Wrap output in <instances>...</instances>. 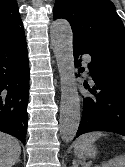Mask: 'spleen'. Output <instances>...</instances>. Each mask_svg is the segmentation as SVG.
Listing matches in <instances>:
<instances>
[{"label":"spleen","instance_id":"3e777b00","mask_svg":"<svg viewBox=\"0 0 125 167\" xmlns=\"http://www.w3.org/2000/svg\"><path fill=\"white\" fill-rule=\"evenodd\" d=\"M104 136L101 132H92L80 136L74 143V153L79 159L94 157L96 149L94 143L97 139ZM102 167H125V155L117 156L107 162L102 163Z\"/></svg>","mask_w":125,"mask_h":167}]
</instances>
